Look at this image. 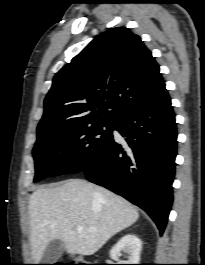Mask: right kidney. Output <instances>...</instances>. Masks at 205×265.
Instances as JSON below:
<instances>
[{"instance_id":"1","label":"right kidney","mask_w":205,"mask_h":265,"mask_svg":"<svg viewBox=\"0 0 205 265\" xmlns=\"http://www.w3.org/2000/svg\"><path fill=\"white\" fill-rule=\"evenodd\" d=\"M141 248V240L134 234H127L110 250V257L113 260H118L120 252L124 251L128 254V260L126 262H119L120 264H139Z\"/></svg>"}]
</instances>
